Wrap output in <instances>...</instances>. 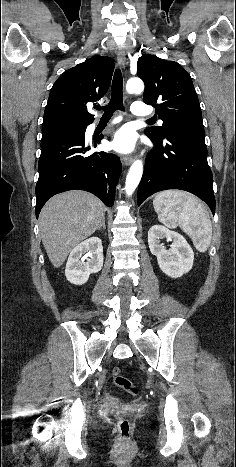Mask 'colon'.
Instances as JSON below:
<instances>
[{
  "label": "colon",
  "instance_id": "obj_1",
  "mask_svg": "<svg viewBox=\"0 0 236 467\" xmlns=\"http://www.w3.org/2000/svg\"><path fill=\"white\" fill-rule=\"evenodd\" d=\"M112 377L114 383L125 390L128 393L137 395L139 389L132 384V382L122 375L121 369L119 367H114L112 369ZM118 431L120 439L123 443H129L131 440V424L126 419H118L117 421Z\"/></svg>",
  "mask_w": 236,
  "mask_h": 467
}]
</instances>
